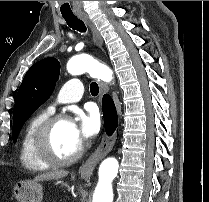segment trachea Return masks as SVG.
<instances>
[{"label":"trachea","instance_id":"trachea-1","mask_svg":"<svg viewBox=\"0 0 209 202\" xmlns=\"http://www.w3.org/2000/svg\"><path fill=\"white\" fill-rule=\"evenodd\" d=\"M64 20L67 25L73 30H77L79 32H86V26L80 19L75 15H63ZM90 92L93 96H97L99 92V87L96 82H92L90 84Z\"/></svg>","mask_w":209,"mask_h":202}]
</instances>
